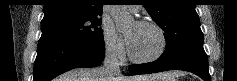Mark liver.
I'll return each instance as SVG.
<instances>
[{"label": "liver", "instance_id": "obj_1", "mask_svg": "<svg viewBox=\"0 0 237 81\" xmlns=\"http://www.w3.org/2000/svg\"><path fill=\"white\" fill-rule=\"evenodd\" d=\"M102 66L95 68H77L64 73L58 78V81H152L158 79L157 76H118L114 80H105L102 75Z\"/></svg>", "mask_w": 237, "mask_h": 81}]
</instances>
